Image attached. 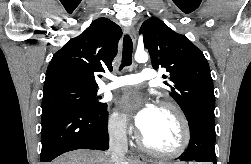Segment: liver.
Masks as SVG:
<instances>
[{
  "mask_svg": "<svg viewBox=\"0 0 251 164\" xmlns=\"http://www.w3.org/2000/svg\"><path fill=\"white\" fill-rule=\"evenodd\" d=\"M110 156L109 152L77 150L62 155L51 164H112ZM176 163L184 164L183 162ZM124 164H136V162L132 159H128L124 161Z\"/></svg>",
  "mask_w": 251,
  "mask_h": 164,
  "instance_id": "liver-1",
  "label": "liver"
}]
</instances>
